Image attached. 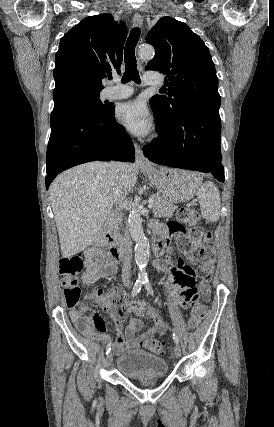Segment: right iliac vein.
I'll return each mask as SVG.
<instances>
[{"instance_id": "right-iliac-vein-1", "label": "right iliac vein", "mask_w": 274, "mask_h": 427, "mask_svg": "<svg viewBox=\"0 0 274 427\" xmlns=\"http://www.w3.org/2000/svg\"><path fill=\"white\" fill-rule=\"evenodd\" d=\"M113 358H114V356H113L112 352H110L106 357V365L108 367H110L112 365Z\"/></svg>"}]
</instances>
